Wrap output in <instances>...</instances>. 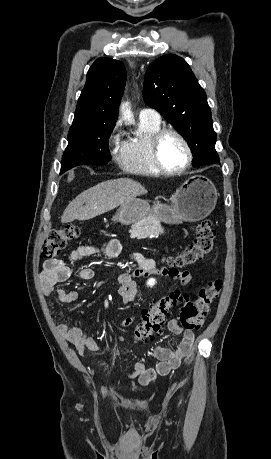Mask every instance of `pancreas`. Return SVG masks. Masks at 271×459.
Instances as JSON below:
<instances>
[{
	"label": "pancreas",
	"mask_w": 271,
	"mask_h": 459,
	"mask_svg": "<svg viewBox=\"0 0 271 459\" xmlns=\"http://www.w3.org/2000/svg\"><path fill=\"white\" fill-rule=\"evenodd\" d=\"M142 225L143 226H137L136 224V228H134L135 231L132 233L135 239H155L158 233H163L164 231L159 220H156V218L144 220Z\"/></svg>",
	"instance_id": "pancreas-1"
}]
</instances>
